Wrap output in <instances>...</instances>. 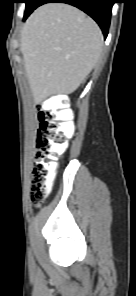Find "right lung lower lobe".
I'll return each instance as SVG.
<instances>
[{"mask_svg": "<svg viewBox=\"0 0 136 296\" xmlns=\"http://www.w3.org/2000/svg\"><path fill=\"white\" fill-rule=\"evenodd\" d=\"M45 3H67L81 9L98 23L104 38L107 37L114 0H37L34 8Z\"/></svg>", "mask_w": 136, "mask_h": 296, "instance_id": "right-lung-lower-lobe-1", "label": "right lung lower lobe"}]
</instances>
